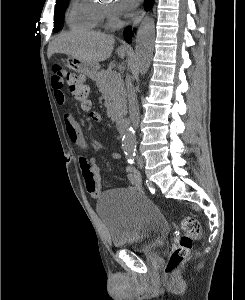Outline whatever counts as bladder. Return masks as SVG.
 Wrapping results in <instances>:
<instances>
[{"instance_id":"1","label":"bladder","mask_w":245,"mask_h":300,"mask_svg":"<svg viewBox=\"0 0 245 300\" xmlns=\"http://www.w3.org/2000/svg\"><path fill=\"white\" fill-rule=\"evenodd\" d=\"M96 210L114 248L151 253L167 239L170 227L165 217L143 193L132 189L105 192Z\"/></svg>"}]
</instances>
